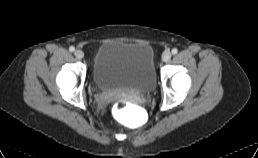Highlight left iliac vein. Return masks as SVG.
Listing matches in <instances>:
<instances>
[{"mask_svg": "<svg viewBox=\"0 0 258 158\" xmlns=\"http://www.w3.org/2000/svg\"><path fill=\"white\" fill-rule=\"evenodd\" d=\"M171 58V53L169 51H165L163 54H162V60L164 62H168Z\"/></svg>", "mask_w": 258, "mask_h": 158, "instance_id": "obj_1", "label": "left iliac vein"}]
</instances>
